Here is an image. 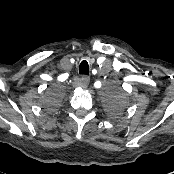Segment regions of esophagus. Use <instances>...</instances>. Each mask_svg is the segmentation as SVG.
<instances>
[{
  "label": "esophagus",
  "mask_w": 174,
  "mask_h": 174,
  "mask_svg": "<svg viewBox=\"0 0 174 174\" xmlns=\"http://www.w3.org/2000/svg\"><path fill=\"white\" fill-rule=\"evenodd\" d=\"M80 81L83 87H87L90 82V77L87 75H84L81 77Z\"/></svg>",
  "instance_id": "34e87169"
}]
</instances>
